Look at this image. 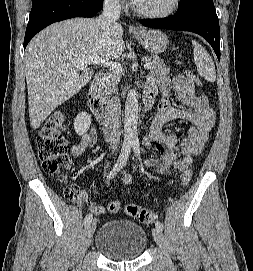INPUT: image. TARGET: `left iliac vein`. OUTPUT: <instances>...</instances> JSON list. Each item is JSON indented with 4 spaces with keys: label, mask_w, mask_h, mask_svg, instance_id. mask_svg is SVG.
Listing matches in <instances>:
<instances>
[{
    "label": "left iliac vein",
    "mask_w": 253,
    "mask_h": 271,
    "mask_svg": "<svg viewBox=\"0 0 253 271\" xmlns=\"http://www.w3.org/2000/svg\"><path fill=\"white\" fill-rule=\"evenodd\" d=\"M152 234H153V238H154L155 242L161 248V250L163 251V253L165 255L166 264L169 267H172V262H171V260L169 258L168 253H167L166 242H165L162 231L160 229H158V228H154L152 230Z\"/></svg>",
    "instance_id": "1"
}]
</instances>
